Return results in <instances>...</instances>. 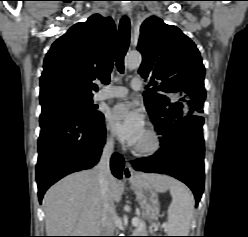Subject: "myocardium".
Instances as JSON below:
<instances>
[{"label": "myocardium", "instance_id": "f54148a6", "mask_svg": "<svg viewBox=\"0 0 248 237\" xmlns=\"http://www.w3.org/2000/svg\"><path fill=\"white\" fill-rule=\"evenodd\" d=\"M149 141L145 145L134 147V152L143 157L152 156L156 154L162 147V140L158 131L152 127L146 131Z\"/></svg>", "mask_w": 248, "mask_h": 237}]
</instances>
